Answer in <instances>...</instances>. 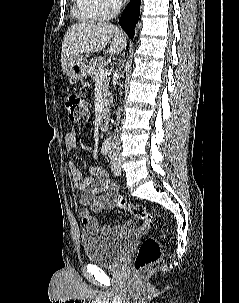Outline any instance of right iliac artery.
I'll return each mask as SVG.
<instances>
[{
    "mask_svg": "<svg viewBox=\"0 0 239 303\" xmlns=\"http://www.w3.org/2000/svg\"><path fill=\"white\" fill-rule=\"evenodd\" d=\"M110 145H111V143L108 142V141H105V142L103 143L102 149H101L103 155H107V154H108V152H109V150H110Z\"/></svg>",
    "mask_w": 239,
    "mask_h": 303,
    "instance_id": "obj_1",
    "label": "right iliac artery"
}]
</instances>
